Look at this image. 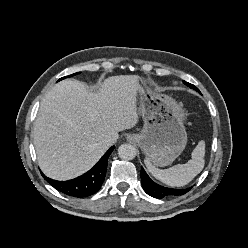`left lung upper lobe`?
Here are the masks:
<instances>
[{
  "instance_id": "1",
  "label": "left lung upper lobe",
  "mask_w": 248,
  "mask_h": 248,
  "mask_svg": "<svg viewBox=\"0 0 248 248\" xmlns=\"http://www.w3.org/2000/svg\"><path fill=\"white\" fill-rule=\"evenodd\" d=\"M183 82H184L185 85L189 86L190 88H192V89H194V90H196V91H198L200 93L199 89L196 86H194V85H192V84H190L188 82H185V81H183Z\"/></svg>"
}]
</instances>
